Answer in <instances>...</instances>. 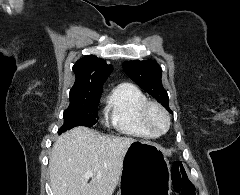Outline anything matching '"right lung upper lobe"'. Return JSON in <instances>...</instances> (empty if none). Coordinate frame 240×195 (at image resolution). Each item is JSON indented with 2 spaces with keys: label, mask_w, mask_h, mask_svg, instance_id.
Listing matches in <instances>:
<instances>
[{
  "label": "right lung upper lobe",
  "mask_w": 240,
  "mask_h": 195,
  "mask_svg": "<svg viewBox=\"0 0 240 195\" xmlns=\"http://www.w3.org/2000/svg\"><path fill=\"white\" fill-rule=\"evenodd\" d=\"M112 70L111 65L94 55L79 59L73 66L76 80L70 90V99L100 97L103 83Z\"/></svg>",
  "instance_id": "1"
}]
</instances>
